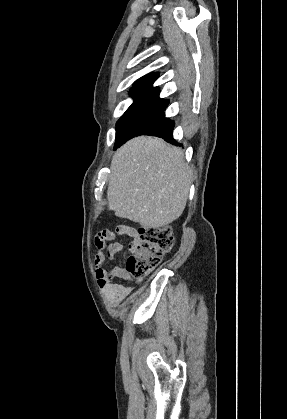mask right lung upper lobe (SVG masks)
Returning a JSON list of instances; mask_svg holds the SVG:
<instances>
[{
  "label": "right lung upper lobe",
  "instance_id": "right-lung-upper-lobe-1",
  "mask_svg": "<svg viewBox=\"0 0 287 419\" xmlns=\"http://www.w3.org/2000/svg\"><path fill=\"white\" fill-rule=\"evenodd\" d=\"M158 73L146 75L137 80L130 90L134 102L128 109L139 107H161L167 106L169 101L159 98L158 87H152Z\"/></svg>",
  "mask_w": 287,
  "mask_h": 419
}]
</instances>
